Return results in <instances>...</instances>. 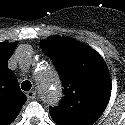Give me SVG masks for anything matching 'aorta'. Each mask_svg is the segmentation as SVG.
Here are the masks:
<instances>
[{"label": "aorta", "mask_w": 125, "mask_h": 125, "mask_svg": "<svg viewBox=\"0 0 125 125\" xmlns=\"http://www.w3.org/2000/svg\"><path fill=\"white\" fill-rule=\"evenodd\" d=\"M35 78L42 101L52 106L57 105L62 97V85L53 66L44 65Z\"/></svg>", "instance_id": "aorta-1"}]
</instances>
